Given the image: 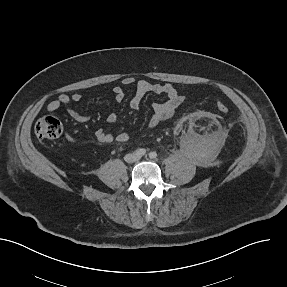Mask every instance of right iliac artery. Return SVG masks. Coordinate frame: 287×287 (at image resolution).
Returning <instances> with one entry per match:
<instances>
[{"instance_id":"1","label":"right iliac artery","mask_w":287,"mask_h":287,"mask_svg":"<svg viewBox=\"0 0 287 287\" xmlns=\"http://www.w3.org/2000/svg\"><path fill=\"white\" fill-rule=\"evenodd\" d=\"M145 154H146V150L143 149V148L137 149V150L135 151V155H137V156H139V157H142V156L145 155Z\"/></svg>"}]
</instances>
